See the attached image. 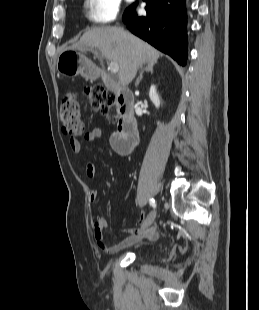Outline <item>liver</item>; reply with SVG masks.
I'll return each mask as SVG.
<instances>
[{
    "mask_svg": "<svg viewBox=\"0 0 259 310\" xmlns=\"http://www.w3.org/2000/svg\"><path fill=\"white\" fill-rule=\"evenodd\" d=\"M72 49H98L102 55L119 66L122 86L129 85L138 69L145 63L157 62L160 52L138 37L116 27L93 28L82 35Z\"/></svg>",
    "mask_w": 259,
    "mask_h": 310,
    "instance_id": "liver-1",
    "label": "liver"
}]
</instances>
